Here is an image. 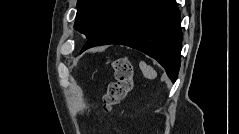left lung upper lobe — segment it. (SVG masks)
Listing matches in <instances>:
<instances>
[{
    "label": "left lung upper lobe",
    "mask_w": 239,
    "mask_h": 134,
    "mask_svg": "<svg viewBox=\"0 0 239 134\" xmlns=\"http://www.w3.org/2000/svg\"><path fill=\"white\" fill-rule=\"evenodd\" d=\"M123 0H78L74 28L90 38L110 20Z\"/></svg>",
    "instance_id": "left-lung-upper-lobe-1"
}]
</instances>
